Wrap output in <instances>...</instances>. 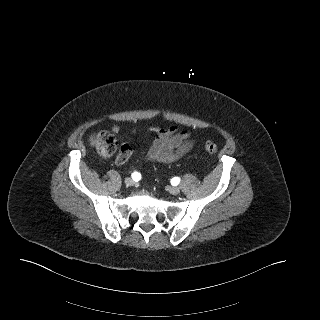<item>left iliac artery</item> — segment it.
Wrapping results in <instances>:
<instances>
[{"instance_id":"44dca946","label":"left iliac artery","mask_w":320,"mask_h":320,"mask_svg":"<svg viewBox=\"0 0 320 320\" xmlns=\"http://www.w3.org/2000/svg\"><path fill=\"white\" fill-rule=\"evenodd\" d=\"M180 182V178L179 177H174L171 181L172 185H178Z\"/></svg>"}]
</instances>
